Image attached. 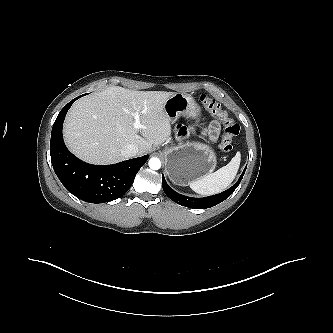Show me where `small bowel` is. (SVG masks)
<instances>
[{"label":"small bowel","instance_id":"c3829d8e","mask_svg":"<svg viewBox=\"0 0 333 333\" xmlns=\"http://www.w3.org/2000/svg\"><path fill=\"white\" fill-rule=\"evenodd\" d=\"M219 130H220V126H219V124L216 123V122H213V123L211 124V126H210V133H211L212 135H216V134L219 133Z\"/></svg>","mask_w":333,"mask_h":333}]
</instances>
